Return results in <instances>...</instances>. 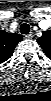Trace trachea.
Here are the masks:
<instances>
[{
    "mask_svg": "<svg viewBox=\"0 0 51 101\" xmlns=\"http://www.w3.org/2000/svg\"><path fill=\"white\" fill-rule=\"evenodd\" d=\"M30 31V26L26 23H23L21 26H20V32L22 34H28Z\"/></svg>",
    "mask_w": 51,
    "mask_h": 101,
    "instance_id": "1",
    "label": "trachea"
}]
</instances>
